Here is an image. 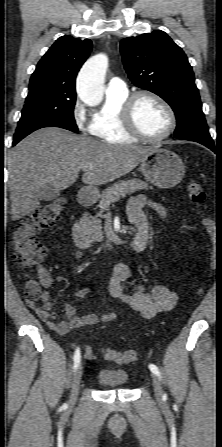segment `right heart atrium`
Returning <instances> with one entry per match:
<instances>
[{
    "label": "right heart atrium",
    "instance_id": "d8ad5b80",
    "mask_svg": "<svg viewBox=\"0 0 222 447\" xmlns=\"http://www.w3.org/2000/svg\"><path fill=\"white\" fill-rule=\"evenodd\" d=\"M73 119H74L76 127L80 131H89L90 130V125L87 123V119H86V113H85L84 109L79 104H76L73 109Z\"/></svg>",
    "mask_w": 222,
    "mask_h": 447
}]
</instances>
